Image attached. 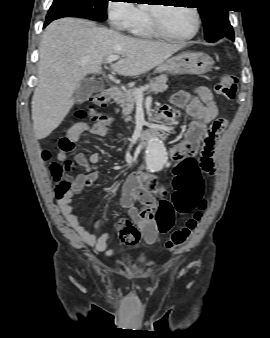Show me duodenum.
Wrapping results in <instances>:
<instances>
[{
  "label": "duodenum",
  "instance_id": "obj_1",
  "mask_svg": "<svg viewBox=\"0 0 270 338\" xmlns=\"http://www.w3.org/2000/svg\"><path fill=\"white\" fill-rule=\"evenodd\" d=\"M108 96L111 100H118L121 97L120 87H111L108 90ZM168 131V127L165 123H157L146 129L143 136L141 137V143H145L149 137L154 136L155 138H163Z\"/></svg>",
  "mask_w": 270,
  "mask_h": 338
}]
</instances>
